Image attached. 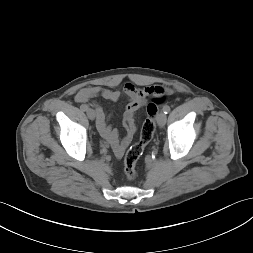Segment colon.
<instances>
[{"label":"colon","mask_w":253,"mask_h":253,"mask_svg":"<svg viewBox=\"0 0 253 253\" xmlns=\"http://www.w3.org/2000/svg\"><path fill=\"white\" fill-rule=\"evenodd\" d=\"M167 94L168 91L160 86H157L154 90L152 101L147 106V118L142 125L139 140L128 149L124 156V173L128 179H134L136 177V164L145 146L153 138L155 132V118L159 106L163 103Z\"/></svg>","instance_id":"5ec220e1"}]
</instances>
